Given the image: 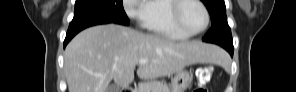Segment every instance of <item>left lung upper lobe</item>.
Segmentation results:
<instances>
[{
    "label": "left lung upper lobe",
    "mask_w": 296,
    "mask_h": 92,
    "mask_svg": "<svg viewBox=\"0 0 296 92\" xmlns=\"http://www.w3.org/2000/svg\"><path fill=\"white\" fill-rule=\"evenodd\" d=\"M202 2L206 5L211 16V28L202 40L220 46L233 45L224 0H202Z\"/></svg>",
    "instance_id": "1"
}]
</instances>
